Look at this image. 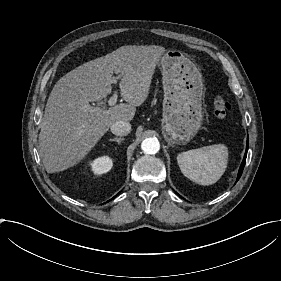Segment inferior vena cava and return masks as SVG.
<instances>
[{"instance_id":"1","label":"inferior vena cava","mask_w":281,"mask_h":281,"mask_svg":"<svg viewBox=\"0 0 281 281\" xmlns=\"http://www.w3.org/2000/svg\"><path fill=\"white\" fill-rule=\"evenodd\" d=\"M131 131V124L126 121H117L111 126V132L114 135L118 136H126Z\"/></svg>"}]
</instances>
